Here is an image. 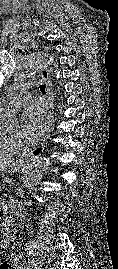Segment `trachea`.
<instances>
[{
	"instance_id": "3493384b",
	"label": "trachea",
	"mask_w": 118,
	"mask_h": 269,
	"mask_svg": "<svg viewBox=\"0 0 118 269\" xmlns=\"http://www.w3.org/2000/svg\"><path fill=\"white\" fill-rule=\"evenodd\" d=\"M40 90L42 93H45L46 86L45 85H40Z\"/></svg>"
}]
</instances>
